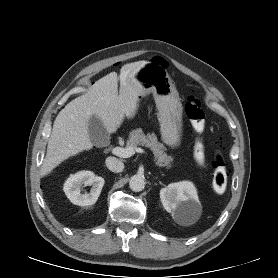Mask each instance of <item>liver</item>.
<instances>
[{"label":"liver","mask_w":278,"mask_h":278,"mask_svg":"<svg viewBox=\"0 0 278 278\" xmlns=\"http://www.w3.org/2000/svg\"><path fill=\"white\" fill-rule=\"evenodd\" d=\"M146 61L124 65L120 78L111 72L96 81L82 96L69 102L57 115L47 152L41 167V176L49 174L64 160L93 147L88 125L91 116H97L109 134L115 133L124 118H134L139 107V97L144 90L135 78ZM120 88L118 92V80Z\"/></svg>","instance_id":"liver-1"}]
</instances>
